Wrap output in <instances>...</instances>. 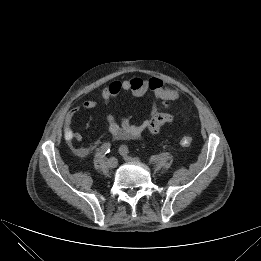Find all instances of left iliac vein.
<instances>
[{
    "label": "left iliac vein",
    "mask_w": 261,
    "mask_h": 261,
    "mask_svg": "<svg viewBox=\"0 0 261 261\" xmlns=\"http://www.w3.org/2000/svg\"><path fill=\"white\" fill-rule=\"evenodd\" d=\"M121 155L123 156V159L125 161H135V162H138L139 160L137 158H133L125 153H121Z\"/></svg>",
    "instance_id": "4c4485c4"
}]
</instances>
